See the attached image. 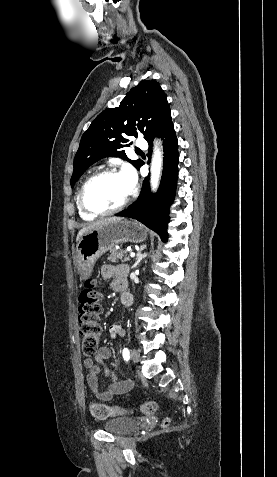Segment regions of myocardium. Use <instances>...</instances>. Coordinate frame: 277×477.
<instances>
[{"mask_svg":"<svg viewBox=\"0 0 277 477\" xmlns=\"http://www.w3.org/2000/svg\"><path fill=\"white\" fill-rule=\"evenodd\" d=\"M108 174H121V172L115 167H109V168L99 170V171L95 172L94 174H92L81 186L80 191L78 193V205L83 212H85L87 214H90V215H94V216L109 215V214H113V213H116V212H119V211L123 210L130 203L131 194L129 193L128 196L118 206L113 207V208L104 209V210H97V209H93V208H91L87 205V203L85 201V193H86V190H87L88 186L95 179H97L101 176H104V175H108Z\"/></svg>","mask_w":277,"mask_h":477,"instance_id":"myocardium-1","label":"myocardium"}]
</instances>
